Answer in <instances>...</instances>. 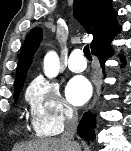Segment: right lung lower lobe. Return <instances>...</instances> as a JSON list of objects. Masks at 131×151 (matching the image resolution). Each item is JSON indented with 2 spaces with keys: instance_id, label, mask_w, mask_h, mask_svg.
I'll use <instances>...</instances> for the list:
<instances>
[{
  "instance_id": "1",
  "label": "right lung lower lobe",
  "mask_w": 131,
  "mask_h": 151,
  "mask_svg": "<svg viewBox=\"0 0 131 151\" xmlns=\"http://www.w3.org/2000/svg\"><path fill=\"white\" fill-rule=\"evenodd\" d=\"M114 36H112L104 43H101L98 46H96L94 49H92V53L99 58L103 72H104V64L108 59V57H110L112 54L110 42L112 41ZM122 62L123 64H125L124 59H122ZM94 127H95V117L86 113L83 116V119L81 120L80 124L78 125L77 131L79 135L83 138L94 139L95 138Z\"/></svg>"
}]
</instances>
